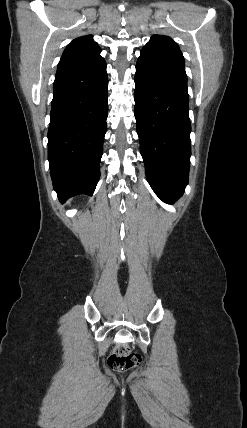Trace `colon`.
Instances as JSON below:
<instances>
[{
    "label": "colon",
    "mask_w": 247,
    "mask_h": 428,
    "mask_svg": "<svg viewBox=\"0 0 247 428\" xmlns=\"http://www.w3.org/2000/svg\"><path fill=\"white\" fill-rule=\"evenodd\" d=\"M141 361L138 353L127 344L118 345L108 357V366L114 370L125 371L137 366Z\"/></svg>",
    "instance_id": "colon-1"
}]
</instances>
